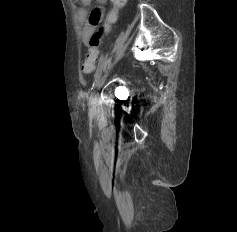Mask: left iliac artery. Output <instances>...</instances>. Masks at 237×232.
I'll use <instances>...</instances> for the list:
<instances>
[{"mask_svg":"<svg viewBox=\"0 0 237 232\" xmlns=\"http://www.w3.org/2000/svg\"><path fill=\"white\" fill-rule=\"evenodd\" d=\"M103 62H104V56H103V54L100 56V58H99V63H98V68H97V70H96V72H95V75H94V78H95V81L101 76V74H102V71H103V69H104V67H103Z\"/></svg>","mask_w":237,"mask_h":232,"instance_id":"1","label":"left iliac artery"}]
</instances>
